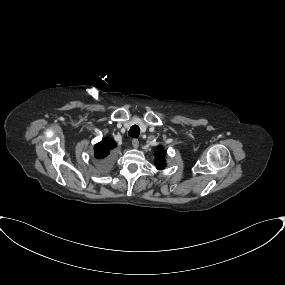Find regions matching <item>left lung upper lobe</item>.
I'll return each mask as SVG.
<instances>
[{"label": "left lung upper lobe", "instance_id": "1", "mask_svg": "<svg viewBox=\"0 0 285 285\" xmlns=\"http://www.w3.org/2000/svg\"><path fill=\"white\" fill-rule=\"evenodd\" d=\"M165 152L162 148H159L158 149V152L156 153L155 155V164H156V167L157 169H164V166H165Z\"/></svg>", "mask_w": 285, "mask_h": 285}]
</instances>
